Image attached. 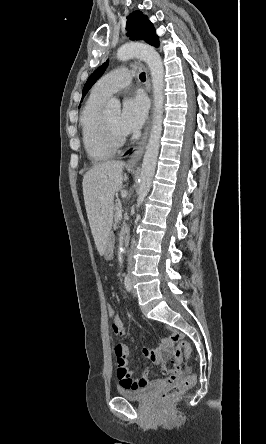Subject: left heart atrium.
I'll use <instances>...</instances> for the list:
<instances>
[{
  "label": "left heart atrium",
  "instance_id": "obj_1",
  "mask_svg": "<svg viewBox=\"0 0 266 444\" xmlns=\"http://www.w3.org/2000/svg\"><path fill=\"white\" fill-rule=\"evenodd\" d=\"M148 113V103L144 96L138 94L124 101L119 118V126L124 134L138 131L144 124Z\"/></svg>",
  "mask_w": 266,
  "mask_h": 444
}]
</instances>
